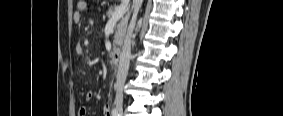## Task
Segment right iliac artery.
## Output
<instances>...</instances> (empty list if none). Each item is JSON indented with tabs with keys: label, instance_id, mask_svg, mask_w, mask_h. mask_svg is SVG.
I'll use <instances>...</instances> for the list:
<instances>
[{
	"label": "right iliac artery",
	"instance_id": "obj_1",
	"mask_svg": "<svg viewBox=\"0 0 283 116\" xmlns=\"http://www.w3.org/2000/svg\"><path fill=\"white\" fill-rule=\"evenodd\" d=\"M112 116H119L117 109L112 110Z\"/></svg>",
	"mask_w": 283,
	"mask_h": 116
}]
</instances>
